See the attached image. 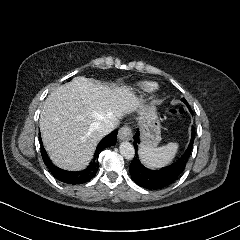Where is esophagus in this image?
<instances>
[{"label":"esophagus","instance_id":"obj_1","mask_svg":"<svg viewBox=\"0 0 240 240\" xmlns=\"http://www.w3.org/2000/svg\"><path fill=\"white\" fill-rule=\"evenodd\" d=\"M132 129L128 125H124L118 131L119 140H130L132 138Z\"/></svg>","mask_w":240,"mask_h":240}]
</instances>
